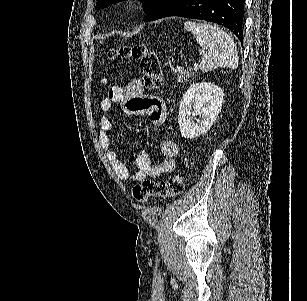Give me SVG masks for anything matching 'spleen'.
Here are the masks:
<instances>
[{
  "mask_svg": "<svg viewBox=\"0 0 307 301\" xmlns=\"http://www.w3.org/2000/svg\"><path fill=\"white\" fill-rule=\"evenodd\" d=\"M184 28L190 30L200 44L199 52L202 60L199 66L202 72H208L217 66L237 68L239 60L237 46L225 30L216 24L195 22V20H187Z\"/></svg>",
  "mask_w": 307,
  "mask_h": 301,
  "instance_id": "1",
  "label": "spleen"
}]
</instances>
